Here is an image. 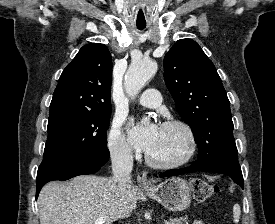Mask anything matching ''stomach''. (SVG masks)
I'll return each mask as SVG.
<instances>
[{
    "label": "stomach",
    "instance_id": "1",
    "mask_svg": "<svg viewBox=\"0 0 275 224\" xmlns=\"http://www.w3.org/2000/svg\"><path fill=\"white\" fill-rule=\"evenodd\" d=\"M146 194L173 212L187 209L191 203V187L179 177L169 178L160 184L145 188Z\"/></svg>",
    "mask_w": 275,
    "mask_h": 224
}]
</instances>
